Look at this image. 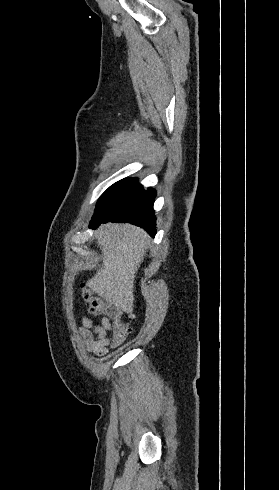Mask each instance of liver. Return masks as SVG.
<instances>
[{
  "mask_svg": "<svg viewBox=\"0 0 279 490\" xmlns=\"http://www.w3.org/2000/svg\"><path fill=\"white\" fill-rule=\"evenodd\" d=\"M102 252V266L86 286L110 306L132 314L134 280L146 254L150 238L142 228L131 224H104L95 236Z\"/></svg>",
  "mask_w": 279,
  "mask_h": 490,
  "instance_id": "1",
  "label": "liver"
}]
</instances>
